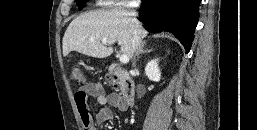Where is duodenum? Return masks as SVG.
Here are the masks:
<instances>
[{
	"label": "duodenum",
	"mask_w": 257,
	"mask_h": 130,
	"mask_svg": "<svg viewBox=\"0 0 257 130\" xmlns=\"http://www.w3.org/2000/svg\"><path fill=\"white\" fill-rule=\"evenodd\" d=\"M109 71L116 75L120 80V92L125 105H131L135 97V83L132 77L126 70L120 68L116 64H110Z\"/></svg>",
	"instance_id": "obj_1"
}]
</instances>
